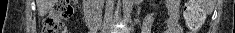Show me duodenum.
Here are the masks:
<instances>
[{
  "mask_svg": "<svg viewBox=\"0 0 235 33\" xmlns=\"http://www.w3.org/2000/svg\"><path fill=\"white\" fill-rule=\"evenodd\" d=\"M86 23L89 29L94 33L97 32L101 26L100 10L92 1H89L86 5Z\"/></svg>",
  "mask_w": 235,
  "mask_h": 33,
  "instance_id": "1",
  "label": "duodenum"
}]
</instances>
